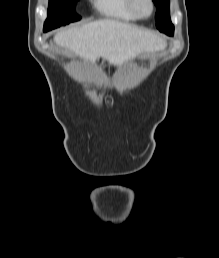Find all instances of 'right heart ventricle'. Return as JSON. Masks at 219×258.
Instances as JSON below:
<instances>
[{
	"mask_svg": "<svg viewBox=\"0 0 219 258\" xmlns=\"http://www.w3.org/2000/svg\"><path fill=\"white\" fill-rule=\"evenodd\" d=\"M96 10L103 16L124 22H132L139 17L132 11L129 0H92Z\"/></svg>",
	"mask_w": 219,
	"mask_h": 258,
	"instance_id": "e07e8e85",
	"label": "right heart ventricle"
}]
</instances>
